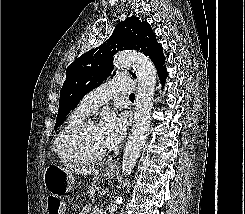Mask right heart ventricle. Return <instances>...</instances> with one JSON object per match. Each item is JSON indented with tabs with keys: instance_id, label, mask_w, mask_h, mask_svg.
<instances>
[{
	"instance_id": "obj_1",
	"label": "right heart ventricle",
	"mask_w": 245,
	"mask_h": 214,
	"mask_svg": "<svg viewBox=\"0 0 245 214\" xmlns=\"http://www.w3.org/2000/svg\"><path fill=\"white\" fill-rule=\"evenodd\" d=\"M88 113L78 106L66 118L53 141V150L59 160L66 164H76L78 161L66 149V140L71 130L87 117Z\"/></svg>"
}]
</instances>
